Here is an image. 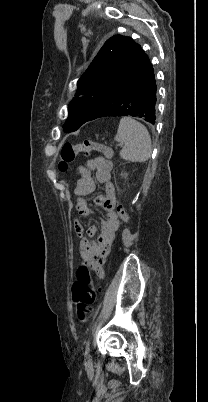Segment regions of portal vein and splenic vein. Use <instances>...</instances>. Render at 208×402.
<instances>
[{
    "label": "portal vein and splenic vein",
    "instance_id": "18ae733b",
    "mask_svg": "<svg viewBox=\"0 0 208 402\" xmlns=\"http://www.w3.org/2000/svg\"><path fill=\"white\" fill-rule=\"evenodd\" d=\"M120 146H124V144H120Z\"/></svg>",
    "mask_w": 208,
    "mask_h": 402
}]
</instances>
